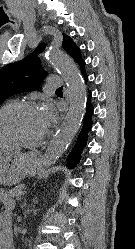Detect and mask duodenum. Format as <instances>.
<instances>
[{
	"label": "duodenum",
	"mask_w": 135,
	"mask_h": 249,
	"mask_svg": "<svg viewBox=\"0 0 135 249\" xmlns=\"http://www.w3.org/2000/svg\"><path fill=\"white\" fill-rule=\"evenodd\" d=\"M13 244V237L10 234H6L3 238V243L0 244V249H11Z\"/></svg>",
	"instance_id": "obj_1"
}]
</instances>
